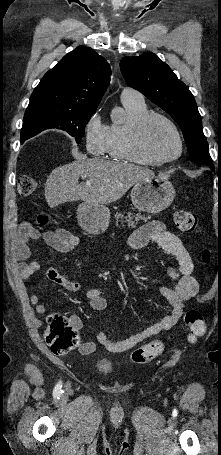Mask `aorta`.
Listing matches in <instances>:
<instances>
[{
  "mask_svg": "<svg viewBox=\"0 0 221 455\" xmlns=\"http://www.w3.org/2000/svg\"><path fill=\"white\" fill-rule=\"evenodd\" d=\"M112 120L117 123H122L125 119L124 113L121 109H115L111 116Z\"/></svg>",
  "mask_w": 221,
  "mask_h": 455,
  "instance_id": "obj_1",
  "label": "aorta"
}]
</instances>
